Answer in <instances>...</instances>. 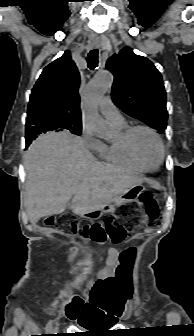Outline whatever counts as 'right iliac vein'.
Listing matches in <instances>:
<instances>
[{
  "label": "right iliac vein",
  "mask_w": 194,
  "mask_h": 336,
  "mask_svg": "<svg viewBox=\"0 0 194 336\" xmlns=\"http://www.w3.org/2000/svg\"><path fill=\"white\" fill-rule=\"evenodd\" d=\"M57 329H58V326L56 325V326H55V330H57Z\"/></svg>",
  "instance_id": "63e3f726"
}]
</instances>
